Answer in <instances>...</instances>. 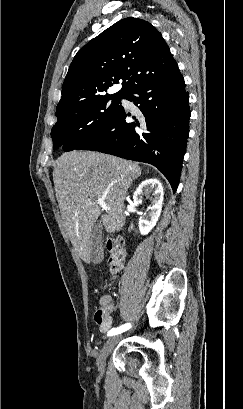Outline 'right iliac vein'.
Instances as JSON below:
<instances>
[{
  "instance_id": "obj_1",
  "label": "right iliac vein",
  "mask_w": 243,
  "mask_h": 409,
  "mask_svg": "<svg viewBox=\"0 0 243 409\" xmlns=\"http://www.w3.org/2000/svg\"><path fill=\"white\" fill-rule=\"evenodd\" d=\"M118 340L119 336H112L104 344L97 360L98 370L101 374L104 372L105 369L106 358L112 352Z\"/></svg>"
}]
</instances>
